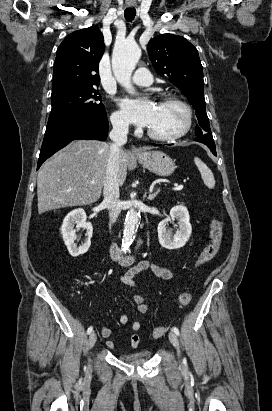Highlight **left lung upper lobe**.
<instances>
[{
  "label": "left lung upper lobe",
  "instance_id": "5c2ea615",
  "mask_svg": "<svg viewBox=\"0 0 272 411\" xmlns=\"http://www.w3.org/2000/svg\"><path fill=\"white\" fill-rule=\"evenodd\" d=\"M156 72L178 87L196 110V136L211 133L204 98L203 68L197 49L184 37L162 34L148 43Z\"/></svg>",
  "mask_w": 272,
  "mask_h": 411
}]
</instances>
